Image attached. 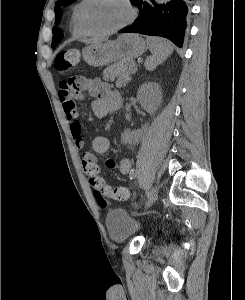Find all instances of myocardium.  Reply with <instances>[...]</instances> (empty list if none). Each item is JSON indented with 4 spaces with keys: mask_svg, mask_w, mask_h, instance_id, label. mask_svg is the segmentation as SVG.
Instances as JSON below:
<instances>
[{
    "mask_svg": "<svg viewBox=\"0 0 245 300\" xmlns=\"http://www.w3.org/2000/svg\"><path fill=\"white\" fill-rule=\"evenodd\" d=\"M92 0H82V3L77 11V22L78 25L80 26V28L82 29V31L86 34V35H90V36H96V37H102V36H109L112 35L122 29H124L126 26H128L130 23H132V21L134 20L135 16H136V10L135 7L133 6L131 0H122V2L125 4V6L128 9V16L126 18V20L121 23L120 25L111 28L109 30H105V31H90L88 30L83 22V11L85 9V7L91 2Z\"/></svg>",
    "mask_w": 245,
    "mask_h": 300,
    "instance_id": "1",
    "label": "myocardium"
}]
</instances>
